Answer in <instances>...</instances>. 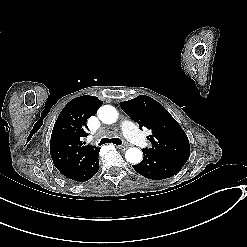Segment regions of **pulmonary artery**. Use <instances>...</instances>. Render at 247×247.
<instances>
[{"mask_svg": "<svg viewBox=\"0 0 247 247\" xmlns=\"http://www.w3.org/2000/svg\"><path fill=\"white\" fill-rule=\"evenodd\" d=\"M119 126L124 137L131 143L141 147H152L151 143L145 138L144 133L140 130L137 123L134 121L121 117Z\"/></svg>", "mask_w": 247, "mask_h": 247, "instance_id": "obj_1", "label": "pulmonary artery"}]
</instances>
